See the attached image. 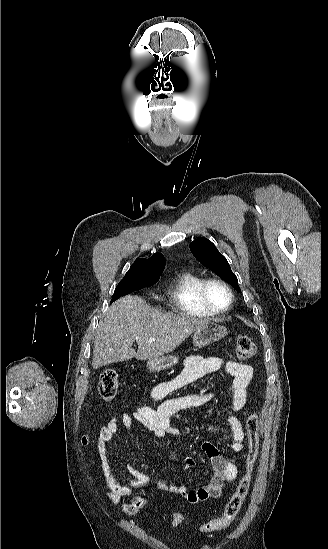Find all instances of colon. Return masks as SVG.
Segmentation results:
<instances>
[{
    "label": "colon",
    "instance_id": "1",
    "mask_svg": "<svg viewBox=\"0 0 328 549\" xmlns=\"http://www.w3.org/2000/svg\"><path fill=\"white\" fill-rule=\"evenodd\" d=\"M256 352V345L247 335H240L235 341V354L239 360H247ZM119 379L114 370H105L101 373L98 383L100 396L107 401H112L118 392ZM247 428V452L245 457V471L241 477L238 486L226 503L223 513L215 518L203 522L199 530L208 533L227 528L239 514L244 501L247 497L253 469L259 453V428L258 416L252 413L246 423ZM84 443L86 440L84 439ZM151 505V498L147 493H141L126 502L123 506V512L127 516H133L142 509ZM186 518L181 513L172 515V524L174 527H182L186 524Z\"/></svg>",
    "mask_w": 328,
    "mask_h": 549
}]
</instances>
